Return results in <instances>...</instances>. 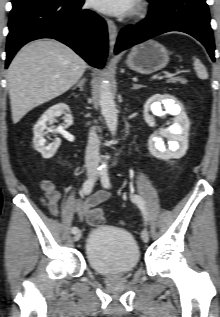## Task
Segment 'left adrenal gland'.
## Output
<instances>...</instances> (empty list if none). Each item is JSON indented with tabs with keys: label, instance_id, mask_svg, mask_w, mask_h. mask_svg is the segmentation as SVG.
I'll use <instances>...</instances> for the list:
<instances>
[{
	"label": "left adrenal gland",
	"instance_id": "1",
	"mask_svg": "<svg viewBox=\"0 0 220 317\" xmlns=\"http://www.w3.org/2000/svg\"><path fill=\"white\" fill-rule=\"evenodd\" d=\"M132 86H133L132 89H137V88L141 87V85H138V84H135V83H133Z\"/></svg>",
	"mask_w": 220,
	"mask_h": 317
}]
</instances>
